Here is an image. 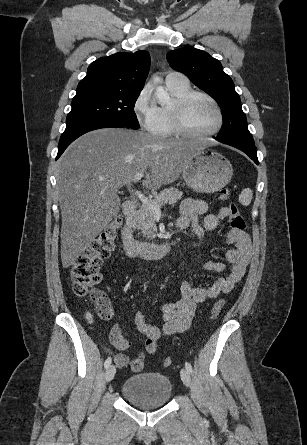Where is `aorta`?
I'll return each mask as SVG.
<instances>
[{
	"label": "aorta",
	"mask_w": 307,
	"mask_h": 445,
	"mask_svg": "<svg viewBox=\"0 0 307 445\" xmlns=\"http://www.w3.org/2000/svg\"><path fill=\"white\" fill-rule=\"evenodd\" d=\"M155 96L157 98V102H159V104H162V106H164V104H170L171 102V98L167 90H165V88H163L161 84H159V86H156Z\"/></svg>",
	"instance_id": "obj_1"
}]
</instances>
